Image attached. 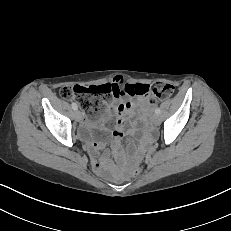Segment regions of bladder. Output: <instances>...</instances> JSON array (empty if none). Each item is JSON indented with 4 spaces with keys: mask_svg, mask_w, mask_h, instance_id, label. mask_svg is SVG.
Segmentation results:
<instances>
[{
    "mask_svg": "<svg viewBox=\"0 0 231 231\" xmlns=\"http://www.w3.org/2000/svg\"><path fill=\"white\" fill-rule=\"evenodd\" d=\"M80 137L82 140H86L88 138V133L85 131H81Z\"/></svg>",
    "mask_w": 231,
    "mask_h": 231,
    "instance_id": "bladder-1",
    "label": "bladder"
}]
</instances>
